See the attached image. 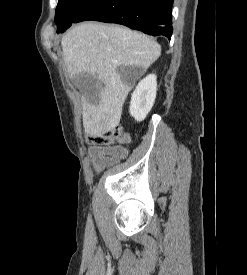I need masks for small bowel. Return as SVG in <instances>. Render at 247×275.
<instances>
[{"mask_svg":"<svg viewBox=\"0 0 247 275\" xmlns=\"http://www.w3.org/2000/svg\"><path fill=\"white\" fill-rule=\"evenodd\" d=\"M128 150L124 146H100L94 145L90 149V160L95 172L117 164L126 158Z\"/></svg>","mask_w":247,"mask_h":275,"instance_id":"obj_1","label":"small bowel"}]
</instances>
